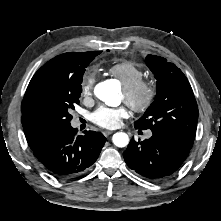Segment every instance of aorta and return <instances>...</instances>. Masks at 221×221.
<instances>
[{"label":"aorta","mask_w":221,"mask_h":221,"mask_svg":"<svg viewBox=\"0 0 221 221\" xmlns=\"http://www.w3.org/2000/svg\"><path fill=\"white\" fill-rule=\"evenodd\" d=\"M94 93L97 98L107 105L114 106L118 103L117 90L114 89L109 81H104L96 85ZM112 141L117 147H125L129 143V137L124 132H117L113 135Z\"/></svg>","instance_id":"aorta-1"}]
</instances>
